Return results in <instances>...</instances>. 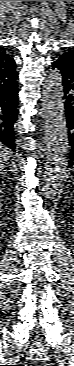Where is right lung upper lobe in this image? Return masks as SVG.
I'll list each match as a JSON object with an SVG mask.
<instances>
[{"label":"right lung upper lobe","instance_id":"right-lung-upper-lobe-1","mask_svg":"<svg viewBox=\"0 0 74 366\" xmlns=\"http://www.w3.org/2000/svg\"><path fill=\"white\" fill-rule=\"evenodd\" d=\"M14 59L0 46V85L9 84L16 79Z\"/></svg>","mask_w":74,"mask_h":366}]
</instances>
